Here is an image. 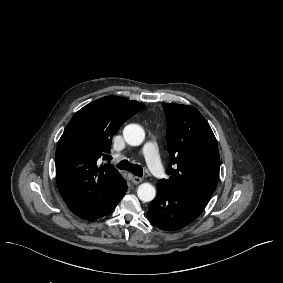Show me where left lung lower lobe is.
<instances>
[{"mask_svg": "<svg viewBox=\"0 0 283 283\" xmlns=\"http://www.w3.org/2000/svg\"><path fill=\"white\" fill-rule=\"evenodd\" d=\"M156 198L150 202L147 218L157 227L172 231L193 222L206 207V202L189 194L176 192L157 184Z\"/></svg>", "mask_w": 283, "mask_h": 283, "instance_id": "left-lung-lower-lobe-1", "label": "left lung lower lobe"}]
</instances>
